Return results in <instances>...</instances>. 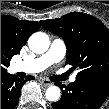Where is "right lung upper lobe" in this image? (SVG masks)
Wrapping results in <instances>:
<instances>
[{
  "instance_id": "obj_1",
  "label": "right lung upper lobe",
  "mask_w": 109,
  "mask_h": 109,
  "mask_svg": "<svg viewBox=\"0 0 109 109\" xmlns=\"http://www.w3.org/2000/svg\"><path fill=\"white\" fill-rule=\"evenodd\" d=\"M39 28L37 21H20L10 15L1 16V74L7 73L10 59L20 53L29 36Z\"/></svg>"
}]
</instances>
